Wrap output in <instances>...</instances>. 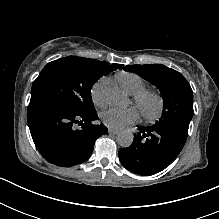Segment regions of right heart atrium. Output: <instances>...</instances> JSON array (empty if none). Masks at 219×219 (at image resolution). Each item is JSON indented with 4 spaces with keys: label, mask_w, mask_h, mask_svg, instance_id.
Listing matches in <instances>:
<instances>
[{
    "label": "right heart atrium",
    "mask_w": 219,
    "mask_h": 219,
    "mask_svg": "<svg viewBox=\"0 0 219 219\" xmlns=\"http://www.w3.org/2000/svg\"><path fill=\"white\" fill-rule=\"evenodd\" d=\"M106 86H107V79L101 78L97 80L93 85L91 86L89 90V95L92 103L95 106L102 107L106 103Z\"/></svg>",
    "instance_id": "obj_1"
}]
</instances>
